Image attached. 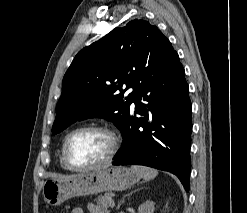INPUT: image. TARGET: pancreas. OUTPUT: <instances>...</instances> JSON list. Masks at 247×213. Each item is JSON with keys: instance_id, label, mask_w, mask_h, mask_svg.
<instances>
[{"instance_id": "pancreas-1", "label": "pancreas", "mask_w": 247, "mask_h": 213, "mask_svg": "<svg viewBox=\"0 0 247 213\" xmlns=\"http://www.w3.org/2000/svg\"><path fill=\"white\" fill-rule=\"evenodd\" d=\"M113 194L108 192L104 195L98 196L96 199L97 206L102 210V213H108V208L110 206V201L112 200Z\"/></svg>"}]
</instances>
